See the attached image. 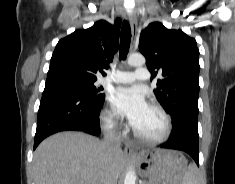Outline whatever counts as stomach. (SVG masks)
I'll return each mask as SVG.
<instances>
[{"label": "stomach", "mask_w": 235, "mask_h": 184, "mask_svg": "<svg viewBox=\"0 0 235 184\" xmlns=\"http://www.w3.org/2000/svg\"><path fill=\"white\" fill-rule=\"evenodd\" d=\"M137 168L147 184H181L187 170V160L177 150L142 152L135 156Z\"/></svg>", "instance_id": "stomach-1"}]
</instances>
